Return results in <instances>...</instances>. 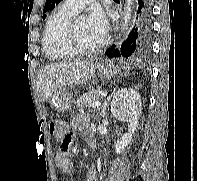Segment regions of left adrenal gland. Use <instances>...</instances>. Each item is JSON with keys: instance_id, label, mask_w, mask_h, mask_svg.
Wrapping results in <instances>:
<instances>
[{"instance_id": "1", "label": "left adrenal gland", "mask_w": 197, "mask_h": 181, "mask_svg": "<svg viewBox=\"0 0 197 181\" xmlns=\"http://www.w3.org/2000/svg\"><path fill=\"white\" fill-rule=\"evenodd\" d=\"M115 91H116V88H114V90L111 92V94L107 97V99L103 103V106H102L101 111H100V116L101 117H104L106 115V110H107V107L109 105V101L112 98V96L114 95Z\"/></svg>"}]
</instances>
